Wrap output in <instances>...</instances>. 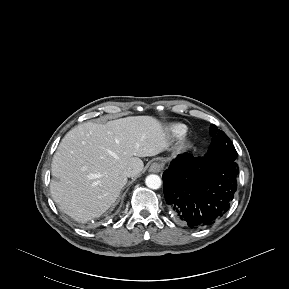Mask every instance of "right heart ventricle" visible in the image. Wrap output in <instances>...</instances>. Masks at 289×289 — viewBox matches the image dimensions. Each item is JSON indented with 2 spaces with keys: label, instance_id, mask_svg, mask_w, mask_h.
Masks as SVG:
<instances>
[{
  "label": "right heart ventricle",
  "instance_id": "right-heart-ventricle-1",
  "mask_svg": "<svg viewBox=\"0 0 289 289\" xmlns=\"http://www.w3.org/2000/svg\"><path fill=\"white\" fill-rule=\"evenodd\" d=\"M170 132H171L172 136H174L176 138H181L186 134L187 128L182 124H175V125L171 126Z\"/></svg>",
  "mask_w": 289,
  "mask_h": 289
}]
</instances>
